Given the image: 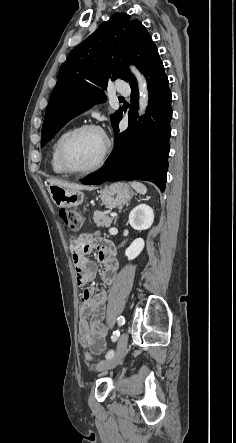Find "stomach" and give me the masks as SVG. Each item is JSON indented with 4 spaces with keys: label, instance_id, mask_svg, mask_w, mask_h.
<instances>
[{
    "label": "stomach",
    "instance_id": "obj_1",
    "mask_svg": "<svg viewBox=\"0 0 236 443\" xmlns=\"http://www.w3.org/2000/svg\"><path fill=\"white\" fill-rule=\"evenodd\" d=\"M48 191L57 207H76L84 200V194L80 190L50 185ZM133 194V190L128 184L117 182L101 190V200L106 207L112 209L127 204Z\"/></svg>",
    "mask_w": 236,
    "mask_h": 443
}]
</instances>
